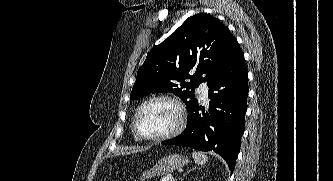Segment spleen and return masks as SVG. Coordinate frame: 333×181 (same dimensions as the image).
I'll return each instance as SVG.
<instances>
[{"label":"spleen","mask_w":333,"mask_h":181,"mask_svg":"<svg viewBox=\"0 0 333 181\" xmlns=\"http://www.w3.org/2000/svg\"><path fill=\"white\" fill-rule=\"evenodd\" d=\"M192 156L197 164H205L208 160V157L200 152L193 151Z\"/></svg>","instance_id":"obj_1"}]
</instances>
